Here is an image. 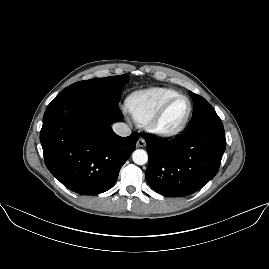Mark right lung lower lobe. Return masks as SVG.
<instances>
[{
	"mask_svg": "<svg viewBox=\"0 0 269 269\" xmlns=\"http://www.w3.org/2000/svg\"><path fill=\"white\" fill-rule=\"evenodd\" d=\"M118 103L79 93H59L47 107L40 141L49 171L82 195L110 189L135 150L137 132L116 135L111 124L122 120Z\"/></svg>",
	"mask_w": 269,
	"mask_h": 269,
	"instance_id": "98d812e1",
	"label": "right lung lower lobe"
}]
</instances>
